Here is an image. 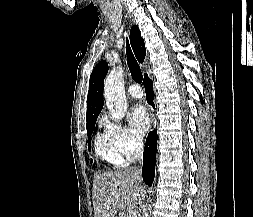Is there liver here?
I'll use <instances>...</instances> for the list:
<instances>
[{
    "label": "liver",
    "instance_id": "6515ba94",
    "mask_svg": "<svg viewBox=\"0 0 253 217\" xmlns=\"http://www.w3.org/2000/svg\"><path fill=\"white\" fill-rule=\"evenodd\" d=\"M145 194L142 181L133 179L126 171L99 174L92 189L94 215L116 217L126 211L127 217H137Z\"/></svg>",
    "mask_w": 253,
    "mask_h": 217
}]
</instances>
